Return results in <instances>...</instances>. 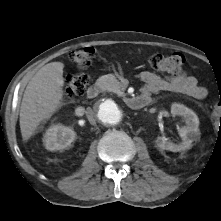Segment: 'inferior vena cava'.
Segmentation results:
<instances>
[{"mask_svg": "<svg viewBox=\"0 0 221 221\" xmlns=\"http://www.w3.org/2000/svg\"><path fill=\"white\" fill-rule=\"evenodd\" d=\"M86 116H87V118H88V120H89V122L91 123V124H95L96 123V120H95V114H94V112H93V110L91 109V108H87V110H86Z\"/></svg>", "mask_w": 221, "mask_h": 221, "instance_id": "obj_1", "label": "inferior vena cava"}]
</instances>
